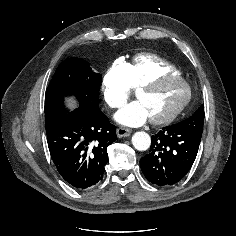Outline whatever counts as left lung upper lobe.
I'll list each match as a JSON object with an SVG mask.
<instances>
[{
	"instance_id": "obj_1",
	"label": "left lung upper lobe",
	"mask_w": 236,
	"mask_h": 236,
	"mask_svg": "<svg viewBox=\"0 0 236 236\" xmlns=\"http://www.w3.org/2000/svg\"><path fill=\"white\" fill-rule=\"evenodd\" d=\"M203 124H204V105H201L199 109L191 117L175 125L202 133Z\"/></svg>"
}]
</instances>
